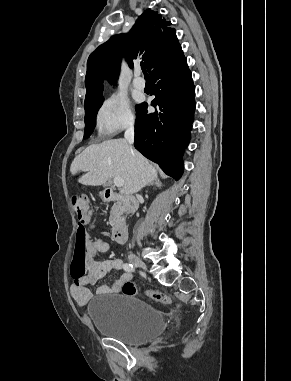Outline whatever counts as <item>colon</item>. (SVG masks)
I'll use <instances>...</instances> for the list:
<instances>
[{
    "label": "colon",
    "mask_w": 291,
    "mask_h": 381,
    "mask_svg": "<svg viewBox=\"0 0 291 381\" xmlns=\"http://www.w3.org/2000/svg\"><path fill=\"white\" fill-rule=\"evenodd\" d=\"M73 209L77 216L79 227L76 235L75 244V254H74V264L77 266L79 271L84 272L86 264V252H87V230L86 225L90 223L91 220V210L89 201L84 197H76L73 200ZM121 292L125 295H138V289L132 282H126L122 285ZM147 299L162 304H171L173 301L170 296L158 293L149 292L144 295Z\"/></svg>",
    "instance_id": "obj_1"
}]
</instances>
